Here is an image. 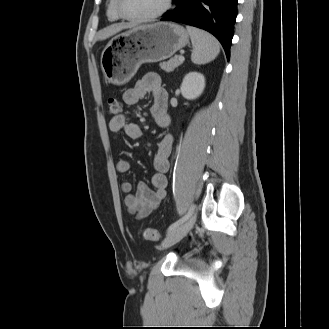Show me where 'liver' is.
<instances>
[{
    "mask_svg": "<svg viewBox=\"0 0 329 329\" xmlns=\"http://www.w3.org/2000/svg\"><path fill=\"white\" fill-rule=\"evenodd\" d=\"M130 27H131L130 25H126V24L111 25L107 28L102 29L98 33V39L99 40L107 39V38L111 37L112 35H115L116 33L120 32L121 30L130 28Z\"/></svg>",
    "mask_w": 329,
    "mask_h": 329,
    "instance_id": "liver-1",
    "label": "liver"
}]
</instances>
